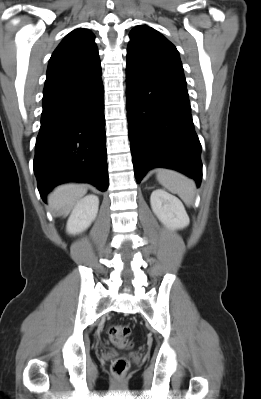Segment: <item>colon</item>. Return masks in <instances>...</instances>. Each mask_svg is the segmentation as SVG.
Here are the masks:
<instances>
[{
  "label": "colon",
  "instance_id": "1",
  "mask_svg": "<svg viewBox=\"0 0 261 399\" xmlns=\"http://www.w3.org/2000/svg\"><path fill=\"white\" fill-rule=\"evenodd\" d=\"M111 342L119 348H130L132 343L129 341L128 336L130 329L125 325H113L108 331ZM130 367V362L127 358L121 357L113 361L111 370L116 376H122L127 373Z\"/></svg>",
  "mask_w": 261,
  "mask_h": 399
}]
</instances>
